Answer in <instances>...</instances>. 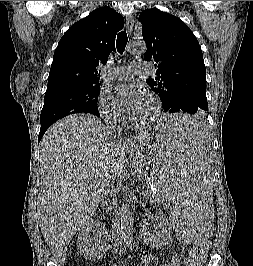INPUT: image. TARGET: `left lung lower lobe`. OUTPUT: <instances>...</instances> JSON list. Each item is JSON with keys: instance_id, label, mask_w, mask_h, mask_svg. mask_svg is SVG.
Listing matches in <instances>:
<instances>
[{"instance_id": "1", "label": "left lung lower lobe", "mask_w": 253, "mask_h": 266, "mask_svg": "<svg viewBox=\"0 0 253 266\" xmlns=\"http://www.w3.org/2000/svg\"><path fill=\"white\" fill-rule=\"evenodd\" d=\"M175 112H189L195 116L193 119H191V124L189 126L191 131H194L195 129L200 130L202 128L203 120L197 118L201 114V108L195 100L185 98L179 103L177 111Z\"/></svg>"}]
</instances>
